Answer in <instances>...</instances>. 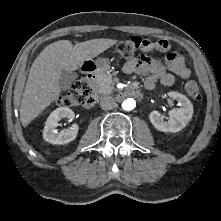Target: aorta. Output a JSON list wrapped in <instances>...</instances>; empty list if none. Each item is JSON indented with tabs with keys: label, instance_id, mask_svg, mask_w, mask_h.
<instances>
[{
	"label": "aorta",
	"instance_id": "1",
	"mask_svg": "<svg viewBox=\"0 0 221 221\" xmlns=\"http://www.w3.org/2000/svg\"><path fill=\"white\" fill-rule=\"evenodd\" d=\"M136 106V101L132 98H128L123 101L122 103V108L126 111H131L135 108Z\"/></svg>",
	"mask_w": 221,
	"mask_h": 221
}]
</instances>
